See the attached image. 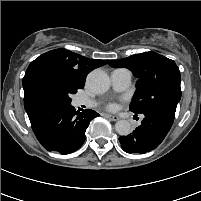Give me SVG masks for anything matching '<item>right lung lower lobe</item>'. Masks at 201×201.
<instances>
[{
    "mask_svg": "<svg viewBox=\"0 0 201 201\" xmlns=\"http://www.w3.org/2000/svg\"><path fill=\"white\" fill-rule=\"evenodd\" d=\"M24 108L41 145L61 154L78 150L86 139L89 122L99 116L89 109L76 112L71 103L37 92L24 97Z\"/></svg>",
    "mask_w": 201,
    "mask_h": 201,
    "instance_id": "right-lung-lower-lobe-1",
    "label": "right lung lower lobe"
}]
</instances>
